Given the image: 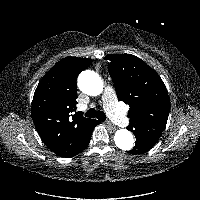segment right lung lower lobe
Masks as SVG:
<instances>
[{"instance_id":"right-lung-lower-lobe-1","label":"right lung lower lobe","mask_w":200,"mask_h":200,"mask_svg":"<svg viewBox=\"0 0 200 200\" xmlns=\"http://www.w3.org/2000/svg\"><path fill=\"white\" fill-rule=\"evenodd\" d=\"M98 123H100V122L98 120L94 119V121L89 125V127L86 130V132L84 133V135L81 137V139H80L77 147L73 151V153L68 157H73V156L79 154L81 151H83L87 147V145L90 142L93 129Z\"/></svg>"}]
</instances>
